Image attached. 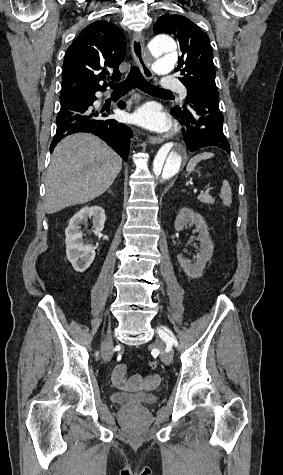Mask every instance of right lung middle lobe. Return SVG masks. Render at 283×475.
I'll return each instance as SVG.
<instances>
[{
	"mask_svg": "<svg viewBox=\"0 0 283 475\" xmlns=\"http://www.w3.org/2000/svg\"><path fill=\"white\" fill-rule=\"evenodd\" d=\"M84 93L83 91L71 89V88H66L62 89L60 93V100L71 97L76 94Z\"/></svg>",
	"mask_w": 283,
	"mask_h": 475,
	"instance_id": "1",
	"label": "right lung middle lobe"
}]
</instances>
